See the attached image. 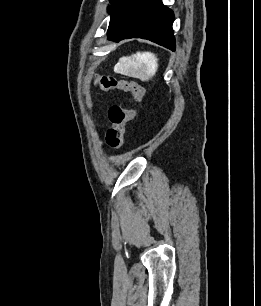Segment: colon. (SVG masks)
Here are the masks:
<instances>
[{"label":"colon","instance_id":"obj_1","mask_svg":"<svg viewBox=\"0 0 261 306\" xmlns=\"http://www.w3.org/2000/svg\"><path fill=\"white\" fill-rule=\"evenodd\" d=\"M96 84L104 91L120 90L130 92L134 99L141 103L146 97V90L139 83L131 79H122L113 75H99ZM136 109H124L120 106H112L109 110L111 128L106 133V143L113 149L122 148L124 145V134L128 122L136 118Z\"/></svg>","mask_w":261,"mask_h":306}]
</instances>
